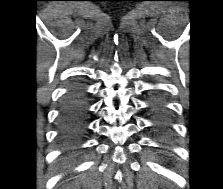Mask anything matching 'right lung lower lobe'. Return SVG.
<instances>
[{
	"instance_id": "98d812e1",
	"label": "right lung lower lobe",
	"mask_w": 223,
	"mask_h": 189,
	"mask_svg": "<svg viewBox=\"0 0 223 189\" xmlns=\"http://www.w3.org/2000/svg\"><path fill=\"white\" fill-rule=\"evenodd\" d=\"M87 116L86 92L82 85L74 84L62 101L58 118V139L64 147H73L81 140Z\"/></svg>"
}]
</instances>
